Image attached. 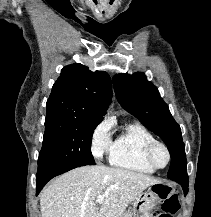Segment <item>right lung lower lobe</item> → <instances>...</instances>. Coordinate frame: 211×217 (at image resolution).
<instances>
[{"label":"right lung lower lobe","instance_id":"98d812e1","mask_svg":"<svg viewBox=\"0 0 211 217\" xmlns=\"http://www.w3.org/2000/svg\"><path fill=\"white\" fill-rule=\"evenodd\" d=\"M78 166H57L38 171L36 175V194L41 191L45 184L53 177L65 173Z\"/></svg>","mask_w":211,"mask_h":217}]
</instances>
